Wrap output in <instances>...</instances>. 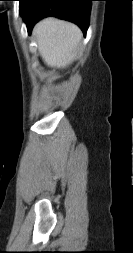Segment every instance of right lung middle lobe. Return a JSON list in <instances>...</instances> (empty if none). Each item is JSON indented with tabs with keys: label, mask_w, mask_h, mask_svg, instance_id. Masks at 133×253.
I'll list each match as a JSON object with an SVG mask.
<instances>
[{
	"label": "right lung middle lobe",
	"mask_w": 133,
	"mask_h": 253,
	"mask_svg": "<svg viewBox=\"0 0 133 253\" xmlns=\"http://www.w3.org/2000/svg\"><path fill=\"white\" fill-rule=\"evenodd\" d=\"M28 1L29 0H19V10H20L21 15H22L23 10L26 7Z\"/></svg>",
	"instance_id": "1"
}]
</instances>
